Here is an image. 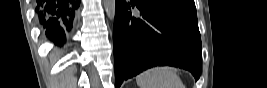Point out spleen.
<instances>
[{
	"label": "spleen",
	"instance_id": "3e777b00",
	"mask_svg": "<svg viewBox=\"0 0 267 88\" xmlns=\"http://www.w3.org/2000/svg\"><path fill=\"white\" fill-rule=\"evenodd\" d=\"M139 88H185L182 80L170 67H154L136 77Z\"/></svg>",
	"mask_w": 267,
	"mask_h": 88
}]
</instances>
